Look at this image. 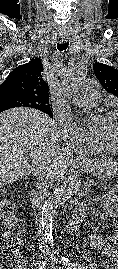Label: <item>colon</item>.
<instances>
[{"label":"colon","instance_id":"5ec220e1","mask_svg":"<svg viewBox=\"0 0 118 269\" xmlns=\"http://www.w3.org/2000/svg\"><path fill=\"white\" fill-rule=\"evenodd\" d=\"M0 221L5 225L0 244L8 247L18 242L21 234V224L14 213L9 195L2 190H0Z\"/></svg>","mask_w":118,"mask_h":269}]
</instances>
